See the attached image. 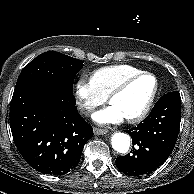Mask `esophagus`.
<instances>
[{
	"mask_svg": "<svg viewBox=\"0 0 194 194\" xmlns=\"http://www.w3.org/2000/svg\"><path fill=\"white\" fill-rule=\"evenodd\" d=\"M93 131H94L95 135H104V134H106L108 132L107 129H101V128H97V127H95L93 129Z\"/></svg>",
	"mask_w": 194,
	"mask_h": 194,
	"instance_id": "obj_1",
	"label": "esophagus"
}]
</instances>
